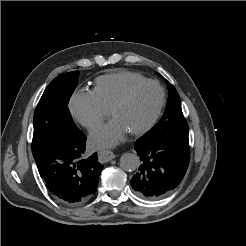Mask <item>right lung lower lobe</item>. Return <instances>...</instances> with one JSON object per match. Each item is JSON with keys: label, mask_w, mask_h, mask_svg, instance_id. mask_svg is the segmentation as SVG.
Masks as SVG:
<instances>
[{"label": "right lung lower lobe", "mask_w": 246, "mask_h": 246, "mask_svg": "<svg viewBox=\"0 0 246 246\" xmlns=\"http://www.w3.org/2000/svg\"><path fill=\"white\" fill-rule=\"evenodd\" d=\"M86 137L82 131L59 137L33 154L40 176L62 203L77 205L95 193L103 166L97 153L84 157Z\"/></svg>", "instance_id": "1"}]
</instances>
